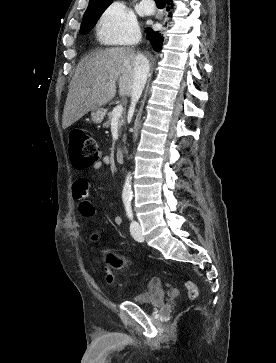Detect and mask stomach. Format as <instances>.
<instances>
[{
  "label": "stomach",
  "mask_w": 276,
  "mask_h": 363,
  "mask_svg": "<svg viewBox=\"0 0 276 363\" xmlns=\"http://www.w3.org/2000/svg\"><path fill=\"white\" fill-rule=\"evenodd\" d=\"M105 114H106V109L102 107L96 108L91 112V119L94 123L100 124L103 121Z\"/></svg>",
  "instance_id": "1"
}]
</instances>
